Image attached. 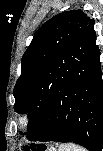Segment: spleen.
I'll list each match as a JSON object with an SVG mask.
<instances>
[{
  "mask_svg": "<svg viewBox=\"0 0 103 151\" xmlns=\"http://www.w3.org/2000/svg\"><path fill=\"white\" fill-rule=\"evenodd\" d=\"M59 151H87L85 148L73 143L62 144L59 146Z\"/></svg>",
  "mask_w": 103,
  "mask_h": 151,
  "instance_id": "3e777b00",
  "label": "spleen"
}]
</instances>
